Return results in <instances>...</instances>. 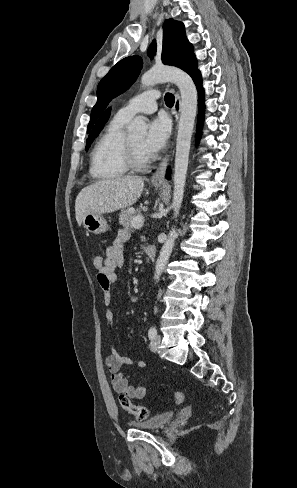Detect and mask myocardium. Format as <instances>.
<instances>
[{
	"mask_svg": "<svg viewBox=\"0 0 297 488\" xmlns=\"http://www.w3.org/2000/svg\"><path fill=\"white\" fill-rule=\"evenodd\" d=\"M125 161L127 167L133 170H143L151 162L150 158L144 160L138 158L136 149L129 138L126 141Z\"/></svg>",
	"mask_w": 297,
	"mask_h": 488,
	"instance_id": "myocardium-1",
	"label": "myocardium"
}]
</instances>
